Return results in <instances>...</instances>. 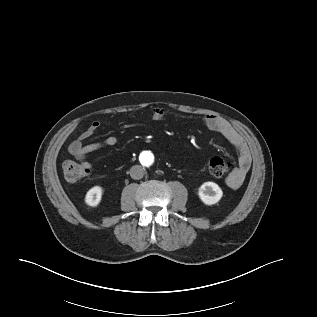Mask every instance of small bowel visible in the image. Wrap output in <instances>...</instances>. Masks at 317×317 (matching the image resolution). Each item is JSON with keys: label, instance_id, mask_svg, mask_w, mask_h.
Wrapping results in <instances>:
<instances>
[{"label": "small bowel", "instance_id": "obj_1", "mask_svg": "<svg viewBox=\"0 0 317 317\" xmlns=\"http://www.w3.org/2000/svg\"><path fill=\"white\" fill-rule=\"evenodd\" d=\"M168 116L166 109L156 107L152 110V119L156 121L164 120ZM204 125L223 136L239 151L238 165L226 179V183L230 188L236 189L240 187L251 166V156L244 146L243 139L233 126L221 116L215 114H207L203 117ZM100 122L91 123L80 135L73 141L69 147V153L81 162L87 168H91L88 156L104 147H111L117 144L118 139L115 136H108L101 141L86 144L85 141L92 137L100 129Z\"/></svg>", "mask_w": 317, "mask_h": 317}]
</instances>
